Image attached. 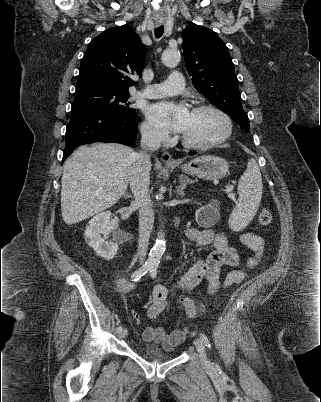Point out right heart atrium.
<instances>
[{
  "label": "right heart atrium",
  "mask_w": 321,
  "mask_h": 402,
  "mask_svg": "<svg viewBox=\"0 0 321 402\" xmlns=\"http://www.w3.org/2000/svg\"><path fill=\"white\" fill-rule=\"evenodd\" d=\"M141 132L143 137L150 143H164L169 138L166 131L153 126L147 121L142 123Z\"/></svg>",
  "instance_id": "obj_1"
}]
</instances>
